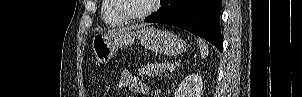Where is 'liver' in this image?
I'll return each instance as SVG.
<instances>
[{"label":"liver","mask_w":302,"mask_h":97,"mask_svg":"<svg viewBox=\"0 0 302 97\" xmlns=\"http://www.w3.org/2000/svg\"><path fill=\"white\" fill-rule=\"evenodd\" d=\"M143 27H144V25H131V26H127V27L113 29V30L109 31V33H114L117 31H122V30H127V29H138V28H143Z\"/></svg>","instance_id":"obj_1"}]
</instances>
